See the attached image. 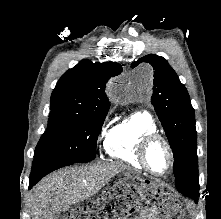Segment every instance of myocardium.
<instances>
[{
    "label": "myocardium",
    "mask_w": 221,
    "mask_h": 219,
    "mask_svg": "<svg viewBox=\"0 0 221 219\" xmlns=\"http://www.w3.org/2000/svg\"><path fill=\"white\" fill-rule=\"evenodd\" d=\"M157 142L162 143L164 145L168 154V158H169V165H168L167 170L164 173L155 172L149 165L148 159H147V152L150 146H152L153 144ZM136 153H137L138 160L140 161L144 169L147 170L153 176L163 177L169 174L171 170L173 169L174 154H173L172 146L165 137H163L162 135L158 133H150V134H146L145 136H143L138 142Z\"/></svg>",
    "instance_id": "f54148a6"
}]
</instances>
